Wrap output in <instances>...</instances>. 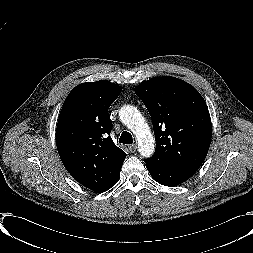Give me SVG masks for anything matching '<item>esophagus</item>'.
I'll use <instances>...</instances> for the list:
<instances>
[{
	"mask_svg": "<svg viewBox=\"0 0 253 253\" xmlns=\"http://www.w3.org/2000/svg\"><path fill=\"white\" fill-rule=\"evenodd\" d=\"M128 148H129V151L133 153L137 150V145L132 144V145H129Z\"/></svg>",
	"mask_w": 253,
	"mask_h": 253,
	"instance_id": "1",
	"label": "esophagus"
}]
</instances>
